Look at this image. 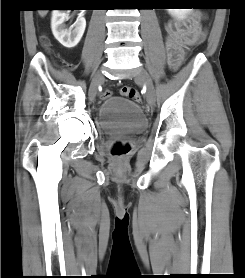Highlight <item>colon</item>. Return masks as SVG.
I'll use <instances>...</instances> for the list:
<instances>
[{"instance_id": "colon-1", "label": "colon", "mask_w": 245, "mask_h": 278, "mask_svg": "<svg viewBox=\"0 0 245 278\" xmlns=\"http://www.w3.org/2000/svg\"><path fill=\"white\" fill-rule=\"evenodd\" d=\"M194 8H197L199 10L202 11H207L209 10V8H211V5L208 3H197L195 5ZM42 42L45 46L49 45V41L47 38H43ZM120 94L122 96L128 97L131 100L140 103L142 98L140 96V94H138L136 92V90L132 87H122L120 88ZM102 96L104 98H108L111 96V92L110 91H104L102 93ZM130 145L128 143H121V142H116L112 148V155L116 158V159H120L122 156L126 155L129 151H130Z\"/></svg>"}]
</instances>
